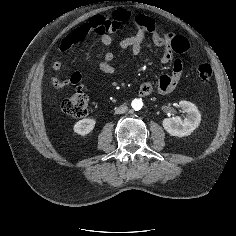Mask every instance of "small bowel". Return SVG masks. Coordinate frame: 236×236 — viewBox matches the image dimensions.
<instances>
[{"label": "small bowel", "instance_id": "obj_1", "mask_svg": "<svg viewBox=\"0 0 236 236\" xmlns=\"http://www.w3.org/2000/svg\"><path fill=\"white\" fill-rule=\"evenodd\" d=\"M137 32L133 35L122 38L119 42V47L122 50H130L133 55H138L143 46L145 34L148 33L151 36V41L154 46L162 48L163 52L160 56V62L162 64L172 63V73L170 75H162L158 79L157 90L161 94H170L176 86L179 84L183 75V61L178 55L186 53L189 48L188 40L181 35L173 33L160 34L156 31L153 20L146 17L145 20L140 21L137 24ZM96 33L100 36L102 44L109 46L112 44L113 39L109 32L96 29ZM75 42L72 41V35L67 36L60 45V51L66 52L69 50ZM114 52L109 50L104 53L103 60L99 64V69L105 74H113L115 68L112 64L114 59ZM52 70L55 74H58L62 70V62L57 59L53 65ZM80 81V74L74 72L67 80H60L54 76H49V84L51 88L55 90H61L69 86L75 85ZM154 90V87L150 83H143L139 88V94L141 96H148Z\"/></svg>", "mask_w": 236, "mask_h": 236}]
</instances>
